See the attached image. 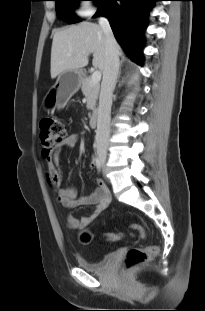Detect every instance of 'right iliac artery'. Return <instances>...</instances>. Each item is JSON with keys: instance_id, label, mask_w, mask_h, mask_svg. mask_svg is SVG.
<instances>
[{"instance_id": "82829eb1", "label": "right iliac artery", "mask_w": 205, "mask_h": 311, "mask_svg": "<svg viewBox=\"0 0 205 311\" xmlns=\"http://www.w3.org/2000/svg\"><path fill=\"white\" fill-rule=\"evenodd\" d=\"M95 165H96L97 169L100 171L102 165H101V162L97 156L95 157Z\"/></svg>"}]
</instances>
